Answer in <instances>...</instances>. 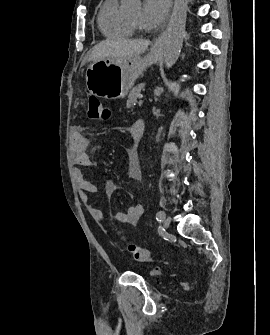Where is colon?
Returning a JSON list of instances; mask_svg holds the SVG:
<instances>
[{
    "label": "colon",
    "mask_w": 270,
    "mask_h": 335,
    "mask_svg": "<svg viewBox=\"0 0 270 335\" xmlns=\"http://www.w3.org/2000/svg\"><path fill=\"white\" fill-rule=\"evenodd\" d=\"M87 115L91 121L103 122L106 121V119L110 115V111L105 108L102 100H100L96 96H92L89 98ZM118 233H120L119 230ZM125 245L127 252L134 260L144 262L149 259V251L146 248L132 243H126Z\"/></svg>",
    "instance_id": "1"
}]
</instances>
